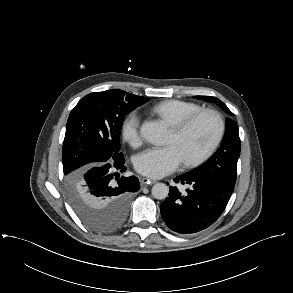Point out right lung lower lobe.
I'll return each mask as SVG.
<instances>
[{
  "label": "right lung lower lobe",
  "mask_w": 293,
  "mask_h": 293,
  "mask_svg": "<svg viewBox=\"0 0 293 293\" xmlns=\"http://www.w3.org/2000/svg\"><path fill=\"white\" fill-rule=\"evenodd\" d=\"M124 162L122 157L89 166L83 174V184L92 210L98 213H117L125 220L131 194L140 186L136 177L120 176L118 172L126 171Z\"/></svg>",
  "instance_id": "1"
}]
</instances>
